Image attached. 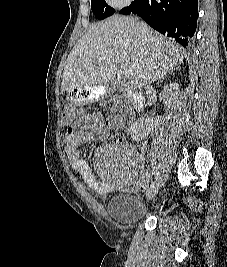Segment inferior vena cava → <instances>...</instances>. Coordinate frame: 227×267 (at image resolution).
<instances>
[{"label": "inferior vena cava", "mask_w": 227, "mask_h": 267, "mask_svg": "<svg viewBox=\"0 0 227 267\" xmlns=\"http://www.w3.org/2000/svg\"><path fill=\"white\" fill-rule=\"evenodd\" d=\"M139 27H140V30H141L142 34L145 35L148 32V26H147V24L145 22L141 21ZM151 83H152L151 82V78L148 77L145 87L147 89H150L151 88Z\"/></svg>", "instance_id": "inferior-vena-cava-1"}]
</instances>
